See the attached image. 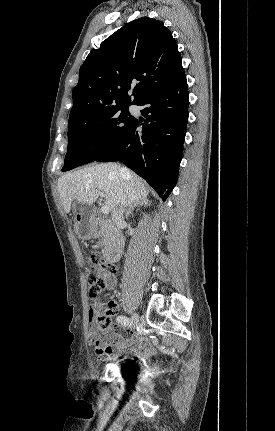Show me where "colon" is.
Returning <instances> with one entry per match:
<instances>
[{"mask_svg": "<svg viewBox=\"0 0 275 431\" xmlns=\"http://www.w3.org/2000/svg\"><path fill=\"white\" fill-rule=\"evenodd\" d=\"M115 271L111 263L106 262L99 255H92L91 269L87 274V284L90 297L100 304L99 296L106 287L105 276L113 274ZM114 303L109 302L108 307H101L96 315V322L100 329H104L109 324V313Z\"/></svg>", "mask_w": 275, "mask_h": 431, "instance_id": "obj_1", "label": "colon"}]
</instances>
